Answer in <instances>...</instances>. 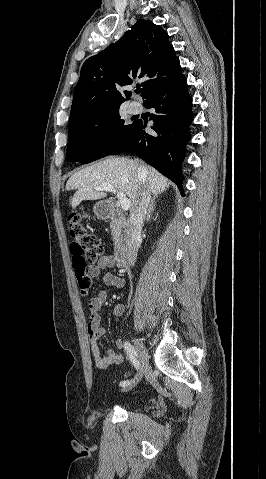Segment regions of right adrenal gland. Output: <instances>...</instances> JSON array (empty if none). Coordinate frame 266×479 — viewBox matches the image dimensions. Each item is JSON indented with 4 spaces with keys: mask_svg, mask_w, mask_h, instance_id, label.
I'll return each instance as SVG.
<instances>
[{
    "mask_svg": "<svg viewBox=\"0 0 266 479\" xmlns=\"http://www.w3.org/2000/svg\"><path fill=\"white\" fill-rule=\"evenodd\" d=\"M155 202V197L152 198L151 202H150V205H149V209H148V212H147V217H146V221H150L151 219V214H152V211L154 210V204Z\"/></svg>",
    "mask_w": 266,
    "mask_h": 479,
    "instance_id": "1",
    "label": "right adrenal gland"
}]
</instances>
